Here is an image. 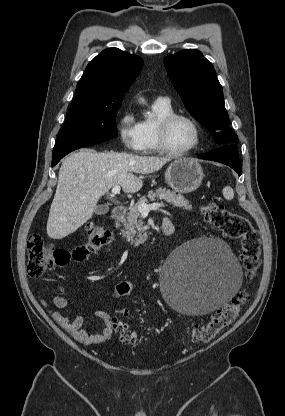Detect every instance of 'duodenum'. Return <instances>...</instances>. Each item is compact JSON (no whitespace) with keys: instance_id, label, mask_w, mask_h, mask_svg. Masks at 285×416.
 <instances>
[{"instance_id":"duodenum-1","label":"duodenum","mask_w":285,"mask_h":416,"mask_svg":"<svg viewBox=\"0 0 285 416\" xmlns=\"http://www.w3.org/2000/svg\"><path fill=\"white\" fill-rule=\"evenodd\" d=\"M126 214V208L123 205H117L112 211V218L114 221H118L123 218ZM161 232L163 238H168L174 233V225L169 219H164L161 222ZM161 240L154 239L153 241L148 240L142 245V249L157 248L160 246Z\"/></svg>"}]
</instances>
